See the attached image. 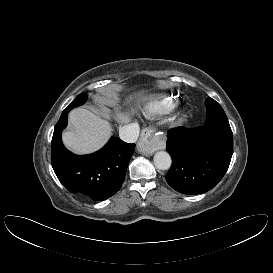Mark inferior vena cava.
I'll list each match as a JSON object with an SVG mask.
<instances>
[{"label":"inferior vena cava","mask_w":273,"mask_h":273,"mask_svg":"<svg viewBox=\"0 0 273 273\" xmlns=\"http://www.w3.org/2000/svg\"><path fill=\"white\" fill-rule=\"evenodd\" d=\"M140 132L138 123H131L124 125L119 129L120 138L127 143H134L137 141Z\"/></svg>","instance_id":"inferior-vena-cava-1"}]
</instances>
